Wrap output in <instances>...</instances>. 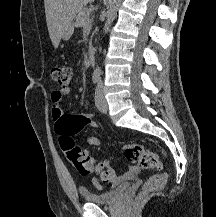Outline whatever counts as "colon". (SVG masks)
Instances as JSON below:
<instances>
[{
    "label": "colon",
    "instance_id": "colon-1",
    "mask_svg": "<svg viewBox=\"0 0 216 217\" xmlns=\"http://www.w3.org/2000/svg\"><path fill=\"white\" fill-rule=\"evenodd\" d=\"M53 79L61 86L67 87L71 81L70 68L64 65L54 66L51 70ZM98 118L87 114H77L64 117L56 130L59 134V142L68 162L82 175L98 172L105 182H111L115 178V170L105 161L95 163L92 157L78 146L73 135L79 133L87 126L100 127ZM125 157L128 161L137 165L139 169H161L159 156L147 149L143 144L131 142L125 146ZM167 180L166 173L159 172L148 178L143 185L138 200H143L148 195L160 190Z\"/></svg>",
    "mask_w": 216,
    "mask_h": 217
}]
</instances>
